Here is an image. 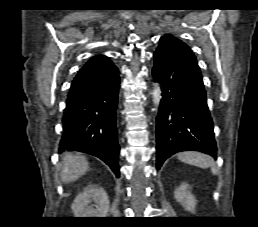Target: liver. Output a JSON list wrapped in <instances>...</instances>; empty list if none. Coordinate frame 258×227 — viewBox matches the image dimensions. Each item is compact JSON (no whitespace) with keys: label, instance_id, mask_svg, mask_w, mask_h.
<instances>
[{"label":"liver","instance_id":"6515ba94","mask_svg":"<svg viewBox=\"0 0 258 227\" xmlns=\"http://www.w3.org/2000/svg\"><path fill=\"white\" fill-rule=\"evenodd\" d=\"M63 166L61 170V180L68 183L77 180L84 175L89 168L88 161L85 156L65 153L62 156Z\"/></svg>","mask_w":258,"mask_h":227}]
</instances>
